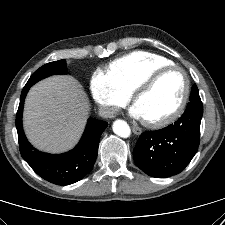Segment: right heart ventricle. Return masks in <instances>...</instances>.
Segmentation results:
<instances>
[{"label": "right heart ventricle", "mask_w": 225, "mask_h": 225, "mask_svg": "<svg viewBox=\"0 0 225 225\" xmlns=\"http://www.w3.org/2000/svg\"><path fill=\"white\" fill-rule=\"evenodd\" d=\"M172 64L171 60L161 55L134 51L114 60L108 74L125 93L131 95L152 72Z\"/></svg>", "instance_id": "e07e8e85"}]
</instances>
